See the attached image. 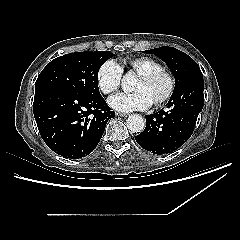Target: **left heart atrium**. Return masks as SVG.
<instances>
[{"mask_svg": "<svg viewBox=\"0 0 240 240\" xmlns=\"http://www.w3.org/2000/svg\"><path fill=\"white\" fill-rule=\"evenodd\" d=\"M110 105L118 111H131L147 108L150 104L149 99L141 91L133 93H117L110 97Z\"/></svg>", "mask_w": 240, "mask_h": 240, "instance_id": "obj_1", "label": "left heart atrium"}]
</instances>
